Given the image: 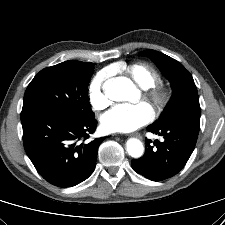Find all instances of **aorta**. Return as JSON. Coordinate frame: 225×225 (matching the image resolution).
<instances>
[{
	"label": "aorta",
	"instance_id": "762f6f07",
	"mask_svg": "<svg viewBox=\"0 0 225 225\" xmlns=\"http://www.w3.org/2000/svg\"><path fill=\"white\" fill-rule=\"evenodd\" d=\"M102 88L106 97L114 101L128 100L136 91L133 82L122 76L107 79ZM126 150L133 158H140L144 154L143 143L136 138L127 140Z\"/></svg>",
	"mask_w": 225,
	"mask_h": 225
}]
</instances>
